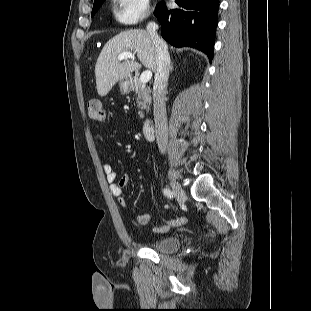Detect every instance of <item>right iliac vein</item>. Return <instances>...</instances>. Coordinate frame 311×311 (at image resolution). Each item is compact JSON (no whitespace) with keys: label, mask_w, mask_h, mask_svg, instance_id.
Returning a JSON list of instances; mask_svg holds the SVG:
<instances>
[{"label":"right iliac vein","mask_w":311,"mask_h":311,"mask_svg":"<svg viewBox=\"0 0 311 311\" xmlns=\"http://www.w3.org/2000/svg\"><path fill=\"white\" fill-rule=\"evenodd\" d=\"M171 187L173 189L175 196L178 198V200L183 202L186 198V193L181 187V185L178 184L176 181H171Z\"/></svg>","instance_id":"obj_1"}]
</instances>
